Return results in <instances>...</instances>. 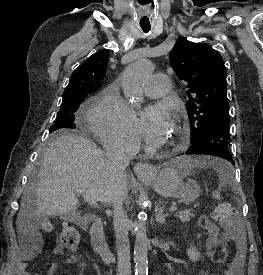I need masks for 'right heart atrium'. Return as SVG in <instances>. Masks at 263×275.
I'll use <instances>...</instances> for the list:
<instances>
[{"mask_svg":"<svg viewBox=\"0 0 263 275\" xmlns=\"http://www.w3.org/2000/svg\"><path fill=\"white\" fill-rule=\"evenodd\" d=\"M87 125L105 147L134 151L140 144L132 112L114 89L97 96L88 109Z\"/></svg>","mask_w":263,"mask_h":275,"instance_id":"d8ad5b80","label":"right heart atrium"}]
</instances>
